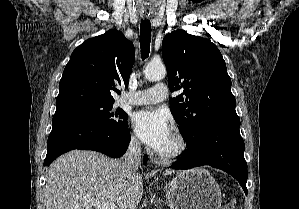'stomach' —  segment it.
I'll return each mask as SVG.
<instances>
[{"label":"stomach","mask_w":299,"mask_h":209,"mask_svg":"<svg viewBox=\"0 0 299 209\" xmlns=\"http://www.w3.org/2000/svg\"><path fill=\"white\" fill-rule=\"evenodd\" d=\"M166 200L171 209H219L221 190L201 168L180 172L166 185Z\"/></svg>","instance_id":"stomach-1"}]
</instances>
